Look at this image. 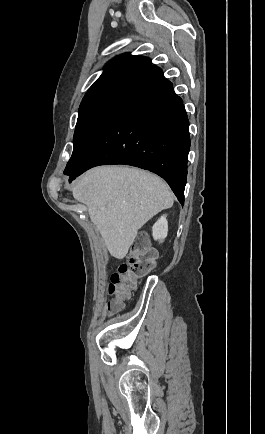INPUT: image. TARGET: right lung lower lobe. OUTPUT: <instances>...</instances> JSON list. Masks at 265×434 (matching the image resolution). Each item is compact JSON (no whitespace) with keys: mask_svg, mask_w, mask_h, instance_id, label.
I'll list each match as a JSON object with an SVG mask.
<instances>
[{"mask_svg":"<svg viewBox=\"0 0 265 434\" xmlns=\"http://www.w3.org/2000/svg\"><path fill=\"white\" fill-rule=\"evenodd\" d=\"M190 149L182 99L162 70L151 65L126 85L70 180L107 164H126L161 176L183 205Z\"/></svg>","mask_w":265,"mask_h":434,"instance_id":"1","label":"right lung lower lobe"}]
</instances>
